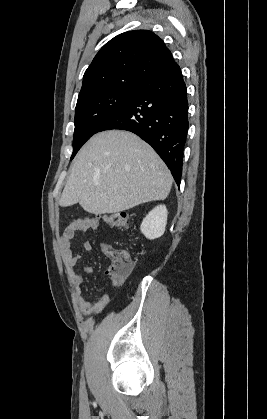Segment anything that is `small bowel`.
<instances>
[{"instance_id":"1","label":"small bowel","mask_w":267,"mask_h":419,"mask_svg":"<svg viewBox=\"0 0 267 419\" xmlns=\"http://www.w3.org/2000/svg\"><path fill=\"white\" fill-rule=\"evenodd\" d=\"M99 227L100 223L96 219L78 218L72 220L59 236L61 257L68 272L69 283L73 288L76 303L81 313L84 315L101 312L107 306L109 297L107 294H103L95 300H88L82 296L84 276L91 274L93 268L90 265L79 266L81 257L73 252L72 242L79 234L87 231H96ZM83 247L87 251L91 249L90 244L87 242L83 244ZM100 248L102 252L109 257H111L114 252L106 241L100 243ZM123 281L124 277L111 276L112 285L115 287L121 286Z\"/></svg>"}]
</instances>
